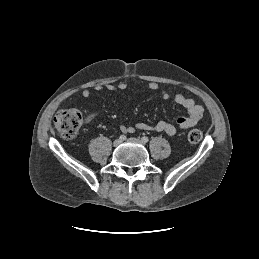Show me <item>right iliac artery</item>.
I'll list each match as a JSON object with an SVG mask.
<instances>
[{
  "label": "right iliac artery",
  "mask_w": 259,
  "mask_h": 259,
  "mask_svg": "<svg viewBox=\"0 0 259 259\" xmlns=\"http://www.w3.org/2000/svg\"><path fill=\"white\" fill-rule=\"evenodd\" d=\"M119 139H120L121 141H124V140H126V136H125V135H120Z\"/></svg>",
  "instance_id": "obj_1"
}]
</instances>
